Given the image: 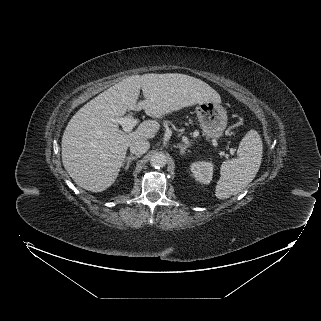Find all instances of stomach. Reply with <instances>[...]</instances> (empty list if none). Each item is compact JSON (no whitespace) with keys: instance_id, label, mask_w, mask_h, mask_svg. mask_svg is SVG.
<instances>
[{"instance_id":"0dacf381","label":"stomach","mask_w":321,"mask_h":321,"mask_svg":"<svg viewBox=\"0 0 321 321\" xmlns=\"http://www.w3.org/2000/svg\"><path fill=\"white\" fill-rule=\"evenodd\" d=\"M196 113L200 127L208 139H218L222 136L227 125V112L220 102L199 103Z\"/></svg>"}]
</instances>
